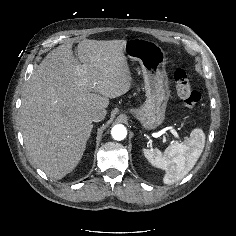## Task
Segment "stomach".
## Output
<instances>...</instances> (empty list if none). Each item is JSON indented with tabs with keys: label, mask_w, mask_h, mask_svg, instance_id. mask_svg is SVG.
I'll return each instance as SVG.
<instances>
[{
	"label": "stomach",
	"mask_w": 236,
	"mask_h": 236,
	"mask_svg": "<svg viewBox=\"0 0 236 236\" xmlns=\"http://www.w3.org/2000/svg\"><path fill=\"white\" fill-rule=\"evenodd\" d=\"M124 54L126 58L140 63L146 93L143 105L139 109L131 108L128 111L140 121L144 129H156L165 119L170 98L165 52L154 41L134 38L126 41Z\"/></svg>",
	"instance_id": "1"
}]
</instances>
